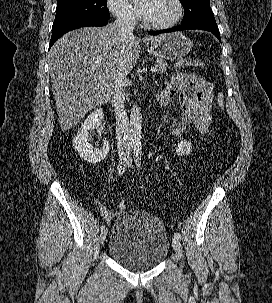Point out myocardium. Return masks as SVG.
I'll list each match as a JSON object with an SVG mask.
<instances>
[{
  "label": "myocardium",
  "instance_id": "myocardium-1",
  "mask_svg": "<svg viewBox=\"0 0 272 303\" xmlns=\"http://www.w3.org/2000/svg\"><path fill=\"white\" fill-rule=\"evenodd\" d=\"M174 3L176 5L177 11H176L175 17L171 21L164 23V24L151 23L141 13L143 25L146 28L154 29V30H166V29H170V28L174 27L181 20V18L183 16V12H184V7H183L181 0H174Z\"/></svg>",
  "mask_w": 272,
  "mask_h": 303
}]
</instances>
